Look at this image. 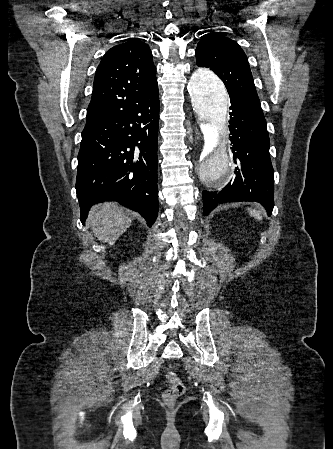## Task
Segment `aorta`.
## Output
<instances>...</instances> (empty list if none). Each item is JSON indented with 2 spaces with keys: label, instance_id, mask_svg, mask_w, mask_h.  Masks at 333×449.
Returning a JSON list of instances; mask_svg holds the SVG:
<instances>
[{
  "label": "aorta",
  "instance_id": "1",
  "mask_svg": "<svg viewBox=\"0 0 333 449\" xmlns=\"http://www.w3.org/2000/svg\"><path fill=\"white\" fill-rule=\"evenodd\" d=\"M188 91L197 121L207 128L210 139L208 150L196 159V178L209 190H218L226 183L231 163L227 148L229 97L224 84L207 67L195 69Z\"/></svg>",
  "mask_w": 333,
  "mask_h": 449
}]
</instances>
